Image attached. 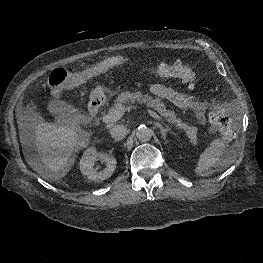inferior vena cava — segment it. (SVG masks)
<instances>
[{
    "label": "inferior vena cava",
    "instance_id": "inferior-vena-cava-1",
    "mask_svg": "<svg viewBox=\"0 0 263 263\" xmlns=\"http://www.w3.org/2000/svg\"><path fill=\"white\" fill-rule=\"evenodd\" d=\"M111 136L119 141L125 138L127 134V128L124 125H115L111 130H110Z\"/></svg>",
    "mask_w": 263,
    "mask_h": 263
}]
</instances>
